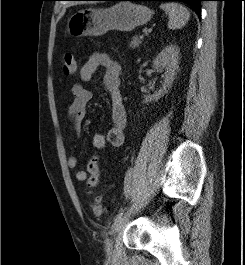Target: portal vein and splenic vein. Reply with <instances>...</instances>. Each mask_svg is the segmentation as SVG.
Listing matches in <instances>:
<instances>
[{
	"label": "portal vein and splenic vein",
	"mask_w": 245,
	"mask_h": 265,
	"mask_svg": "<svg viewBox=\"0 0 245 265\" xmlns=\"http://www.w3.org/2000/svg\"><path fill=\"white\" fill-rule=\"evenodd\" d=\"M144 37H145L144 34L140 35V39H144Z\"/></svg>",
	"instance_id": "1"
}]
</instances>
